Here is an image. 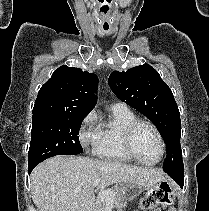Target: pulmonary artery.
<instances>
[{
    "instance_id": "e3ab8cb5",
    "label": "pulmonary artery",
    "mask_w": 209,
    "mask_h": 211,
    "mask_svg": "<svg viewBox=\"0 0 209 211\" xmlns=\"http://www.w3.org/2000/svg\"><path fill=\"white\" fill-rule=\"evenodd\" d=\"M111 109L122 111V110H128V107L124 103L117 102L111 105Z\"/></svg>"
}]
</instances>
